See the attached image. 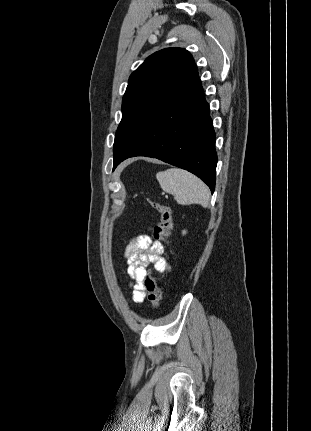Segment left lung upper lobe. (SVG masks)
<instances>
[{
    "label": "left lung upper lobe",
    "instance_id": "1",
    "mask_svg": "<svg viewBox=\"0 0 311 431\" xmlns=\"http://www.w3.org/2000/svg\"><path fill=\"white\" fill-rule=\"evenodd\" d=\"M196 73L194 59L187 50L166 48L150 55L131 74L115 134L114 157L132 145L164 104Z\"/></svg>",
    "mask_w": 311,
    "mask_h": 431
}]
</instances>
